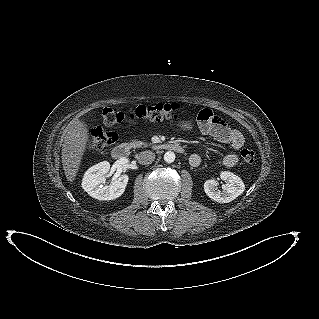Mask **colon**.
I'll return each mask as SVG.
<instances>
[{
	"mask_svg": "<svg viewBox=\"0 0 319 319\" xmlns=\"http://www.w3.org/2000/svg\"><path fill=\"white\" fill-rule=\"evenodd\" d=\"M178 110L179 105L176 103L140 105L129 115L114 108H104L102 117L103 123L106 126H115L122 122L133 120L174 119L178 117ZM201 117H203V112L198 115V118ZM116 140L117 135L114 132L98 127L92 130L88 140V147L92 150H103L112 145ZM241 157L245 162L253 163L255 153L253 150L245 148L241 151Z\"/></svg>",
	"mask_w": 319,
	"mask_h": 319,
	"instance_id": "obj_1",
	"label": "colon"
}]
</instances>
